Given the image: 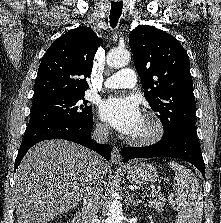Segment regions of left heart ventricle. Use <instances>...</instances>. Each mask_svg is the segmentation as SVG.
Masks as SVG:
<instances>
[{"label": "left heart ventricle", "instance_id": "left-heart-ventricle-1", "mask_svg": "<svg viewBox=\"0 0 221 223\" xmlns=\"http://www.w3.org/2000/svg\"><path fill=\"white\" fill-rule=\"evenodd\" d=\"M151 124L142 118L140 125L138 126L137 130L131 135L133 137H139L148 134L151 131Z\"/></svg>", "mask_w": 221, "mask_h": 223}]
</instances>
